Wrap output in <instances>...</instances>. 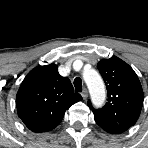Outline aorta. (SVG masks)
<instances>
[{"instance_id": "1", "label": "aorta", "mask_w": 148, "mask_h": 148, "mask_svg": "<svg viewBox=\"0 0 148 148\" xmlns=\"http://www.w3.org/2000/svg\"><path fill=\"white\" fill-rule=\"evenodd\" d=\"M83 78L89 89L92 103L96 107H102L106 99V89L101 76L94 69H85Z\"/></svg>"}]
</instances>
